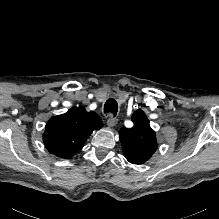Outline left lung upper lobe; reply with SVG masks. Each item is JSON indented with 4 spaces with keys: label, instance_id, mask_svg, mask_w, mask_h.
<instances>
[{
    "label": "left lung upper lobe",
    "instance_id": "obj_1",
    "mask_svg": "<svg viewBox=\"0 0 219 219\" xmlns=\"http://www.w3.org/2000/svg\"><path fill=\"white\" fill-rule=\"evenodd\" d=\"M132 121L131 129L121 128L119 131L123 153L130 163L143 164L158 149L156 134L142 110L134 112Z\"/></svg>",
    "mask_w": 219,
    "mask_h": 219
}]
</instances>
